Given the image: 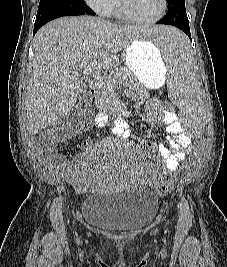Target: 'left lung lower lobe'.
<instances>
[{"instance_id": "0a47b994", "label": "left lung lower lobe", "mask_w": 227, "mask_h": 267, "mask_svg": "<svg viewBox=\"0 0 227 267\" xmlns=\"http://www.w3.org/2000/svg\"><path fill=\"white\" fill-rule=\"evenodd\" d=\"M157 24L172 25L182 30L191 39L185 3L168 5V12ZM177 50V45H176Z\"/></svg>"}]
</instances>
